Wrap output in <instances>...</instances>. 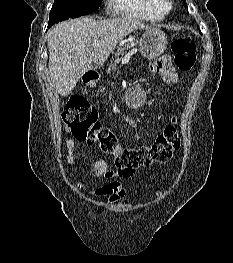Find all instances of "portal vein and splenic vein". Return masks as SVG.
I'll use <instances>...</instances> for the list:
<instances>
[{"instance_id": "obj_1", "label": "portal vein and splenic vein", "mask_w": 233, "mask_h": 263, "mask_svg": "<svg viewBox=\"0 0 233 263\" xmlns=\"http://www.w3.org/2000/svg\"><path fill=\"white\" fill-rule=\"evenodd\" d=\"M92 46H95V44H92ZM137 50L136 49H133L132 51H131V53H134V52H136Z\"/></svg>"}]
</instances>
